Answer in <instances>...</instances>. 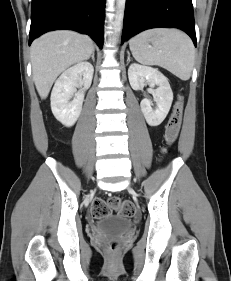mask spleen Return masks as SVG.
Masks as SVG:
<instances>
[{"instance_id":"1","label":"spleen","mask_w":231,"mask_h":281,"mask_svg":"<svg viewBox=\"0 0 231 281\" xmlns=\"http://www.w3.org/2000/svg\"><path fill=\"white\" fill-rule=\"evenodd\" d=\"M129 46L138 62L163 67L184 81L191 77L195 48L188 35L182 31L150 29L130 39Z\"/></svg>"}]
</instances>
